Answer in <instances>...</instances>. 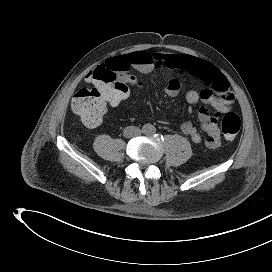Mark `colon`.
Wrapping results in <instances>:
<instances>
[{
	"label": "colon",
	"mask_w": 272,
	"mask_h": 272,
	"mask_svg": "<svg viewBox=\"0 0 272 272\" xmlns=\"http://www.w3.org/2000/svg\"><path fill=\"white\" fill-rule=\"evenodd\" d=\"M123 70L100 65L89 72V86L79 89L73 96L71 107L81 121L90 128L97 127L106 111L107 104L119 105L129 93L127 83L120 77ZM241 126L240 117L227 112L221 120L224 138L233 141Z\"/></svg>",
	"instance_id": "5ec220e1"
}]
</instances>
